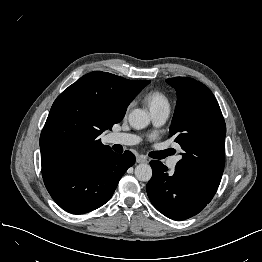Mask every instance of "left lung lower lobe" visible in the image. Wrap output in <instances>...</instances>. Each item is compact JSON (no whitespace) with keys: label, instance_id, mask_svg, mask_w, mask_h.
<instances>
[{"label":"left lung lower lobe","instance_id":"0a47b994","mask_svg":"<svg viewBox=\"0 0 262 262\" xmlns=\"http://www.w3.org/2000/svg\"><path fill=\"white\" fill-rule=\"evenodd\" d=\"M153 176L146 191L153 206L173 220H186L198 214L208 204L176 173L169 174L160 161L150 162Z\"/></svg>","mask_w":262,"mask_h":262}]
</instances>
